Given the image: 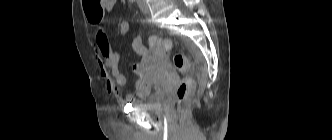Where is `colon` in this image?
Listing matches in <instances>:
<instances>
[{
	"mask_svg": "<svg viewBox=\"0 0 332 140\" xmlns=\"http://www.w3.org/2000/svg\"><path fill=\"white\" fill-rule=\"evenodd\" d=\"M104 0H83V6L87 18L93 21H100L103 15ZM114 33L117 36H125L129 33L130 25L126 20H121L113 26ZM149 47L152 49H160L170 51L172 49V42L168 39H162L157 36H151L148 39ZM174 67L182 74H186L189 70V61L187 57L181 53L174 54ZM177 107L181 119L183 120L189 109L194 103L193 99V82L184 76L177 85L176 89Z\"/></svg>",
	"mask_w": 332,
	"mask_h": 140,
	"instance_id": "colon-1",
	"label": "colon"
}]
</instances>
